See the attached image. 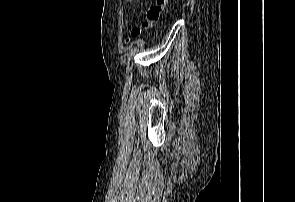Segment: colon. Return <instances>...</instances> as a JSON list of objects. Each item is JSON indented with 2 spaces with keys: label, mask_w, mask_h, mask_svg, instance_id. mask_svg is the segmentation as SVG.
I'll list each match as a JSON object with an SVG mask.
<instances>
[{
  "label": "colon",
  "mask_w": 295,
  "mask_h": 202,
  "mask_svg": "<svg viewBox=\"0 0 295 202\" xmlns=\"http://www.w3.org/2000/svg\"><path fill=\"white\" fill-rule=\"evenodd\" d=\"M167 4V0H154V2L149 7L148 11L146 12L145 20L143 22V29L151 28L160 18L162 12L165 9ZM140 28L133 27L131 29L132 36H138L140 34Z\"/></svg>",
  "instance_id": "1"
}]
</instances>
